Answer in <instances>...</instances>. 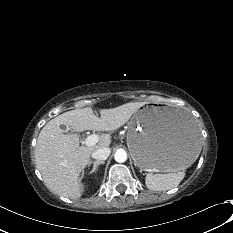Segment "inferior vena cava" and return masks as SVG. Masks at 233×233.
<instances>
[{
    "label": "inferior vena cava",
    "instance_id": "obj_1",
    "mask_svg": "<svg viewBox=\"0 0 233 233\" xmlns=\"http://www.w3.org/2000/svg\"><path fill=\"white\" fill-rule=\"evenodd\" d=\"M111 153V150L108 147H102L97 150H95L92 153V158L98 160V161H103L106 160Z\"/></svg>",
    "mask_w": 233,
    "mask_h": 233
}]
</instances>
